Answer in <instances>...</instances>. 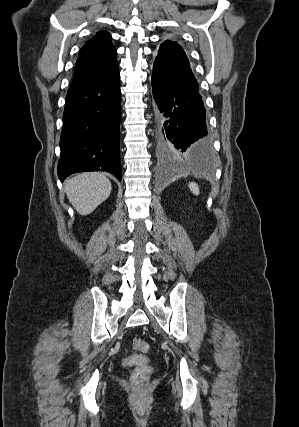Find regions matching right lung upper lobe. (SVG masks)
Instances as JSON below:
<instances>
[{"label": "right lung upper lobe", "mask_w": 299, "mask_h": 427, "mask_svg": "<svg viewBox=\"0 0 299 427\" xmlns=\"http://www.w3.org/2000/svg\"><path fill=\"white\" fill-rule=\"evenodd\" d=\"M111 35L98 32L81 48L71 86L105 79L119 69Z\"/></svg>", "instance_id": "1"}]
</instances>
